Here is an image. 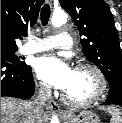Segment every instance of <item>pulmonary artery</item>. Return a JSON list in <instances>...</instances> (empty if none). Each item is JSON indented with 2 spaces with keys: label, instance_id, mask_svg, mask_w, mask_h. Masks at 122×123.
Instances as JSON below:
<instances>
[{
  "label": "pulmonary artery",
  "instance_id": "e3ab8cb5",
  "mask_svg": "<svg viewBox=\"0 0 122 123\" xmlns=\"http://www.w3.org/2000/svg\"><path fill=\"white\" fill-rule=\"evenodd\" d=\"M73 46L72 38L68 32L63 31L55 36L46 38L32 37L20 48L22 54L39 53L51 49H70Z\"/></svg>",
  "mask_w": 122,
  "mask_h": 123
}]
</instances>
